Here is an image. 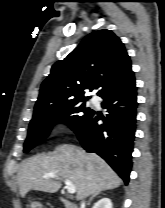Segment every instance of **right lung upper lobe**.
<instances>
[{
  "mask_svg": "<svg viewBox=\"0 0 165 208\" xmlns=\"http://www.w3.org/2000/svg\"><path fill=\"white\" fill-rule=\"evenodd\" d=\"M131 73V61L120 38L110 30L94 31L52 66L41 85L34 112L52 104L87 100V88L98 89L100 96Z\"/></svg>",
  "mask_w": 165,
  "mask_h": 208,
  "instance_id": "cb5924a9",
  "label": "right lung upper lobe"
}]
</instances>
